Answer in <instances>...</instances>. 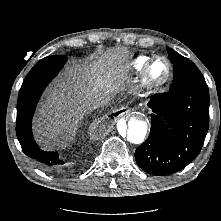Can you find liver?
<instances>
[{
	"instance_id": "1",
	"label": "liver",
	"mask_w": 221,
	"mask_h": 221,
	"mask_svg": "<svg viewBox=\"0 0 221 221\" xmlns=\"http://www.w3.org/2000/svg\"><path fill=\"white\" fill-rule=\"evenodd\" d=\"M126 49H115L97 61L72 66L46 95L34 121L36 138L49 147L69 141L88 113L90 103L120 89L127 72Z\"/></svg>"
}]
</instances>
